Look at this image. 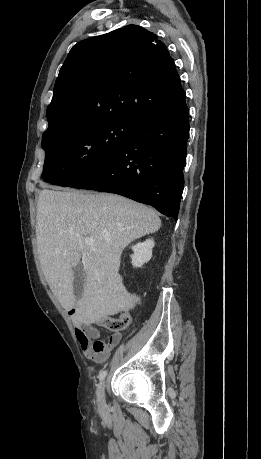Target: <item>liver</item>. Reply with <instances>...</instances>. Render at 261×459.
I'll use <instances>...</instances> for the list:
<instances>
[{"label":"liver","instance_id":"1","mask_svg":"<svg viewBox=\"0 0 261 459\" xmlns=\"http://www.w3.org/2000/svg\"><path fill=\"white\" fill-rule=\"evenodd\" d=\"M160 227L153 209L120 195L41 190L36 238L50 289L66 310L76 309L79 322L90 325L107 319L129 302L118 273L123 250ZM86 238H93L92 246ZM80 259L86 278L83 294L76 299L73 275Z\"/></svg>","mask_w":261,"mask_h":459}]
</instances>
